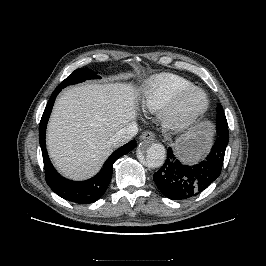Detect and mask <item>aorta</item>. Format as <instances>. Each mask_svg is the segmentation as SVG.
<instances>
[{
	"instance_id": "aorta-1",
	"label": "aorta",
	"mask_w": 266,
	"mask_h": 266,
	"mask_svg": "<svg viewBox=\"0 0 266 266\" xmlns=\"http://www.w3.org/2000/svg\"><path fill=\"white\" fill-rule=\"evenodd\" d=\"M145 163L150 168H158L164 164L166 150L161 143H153L143 150Z\"/></svg>"
}]
</instances>
